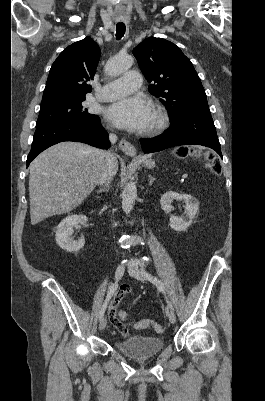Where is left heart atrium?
Here are the masks:
<instances>
[{"label": "left heart atrium", "mask_w": 265, "mask_h": 401, "mask_svg": "<svg viewBox=\"0 0 265 401\" xmlns=\"http://www.w3.org/2000/svg\"><path fill=\"white\" fill-rule=\"evenodd\" d=\"M153 109L142 97H125L114 101L106 108V118L119 128L139 130L148 127Z\"/></svg>", "instance_id": "1"}]
</instances>
